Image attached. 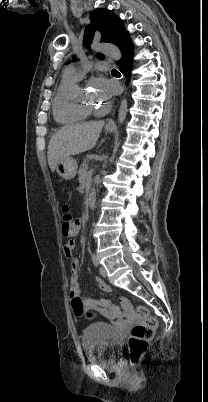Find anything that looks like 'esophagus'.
<instances>
[{
    "label": "esophagus",
    "instance_id": "obj_1",
    "mask_svg": "<svg viewBox=\"0 0 208 402\" xmlns=\"http://www.w3.org/2000/svg\"><path fill=\"white\" fill-rule=\"evenodd\" d=\"M107 125L114 126V122H113L112 120H110V121L107 123Z\"/></svg>",
    "mask_w": 208,
    "mask_h": 402
}]
</instances>
